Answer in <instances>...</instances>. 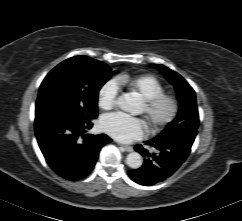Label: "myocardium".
Listing matches in <instances>:
<instances>
[{"label":"myocardium","instance_id":"obj_1","mask_svg":"<svg viewBox=\"0 0 242 221\" xmlns=\"http://www.w3.org/2000/svg\"><path fill=\"white\" fill-rule=\"evenodd\" d=\"M161 107L166 108L162 116L157 112ZM179 111L178 100L168 93H160L143 100V113L154 129H163L169 126L177 117Z\"/></svg>","mask_w":242,"mask_h":221}]
</instances>
